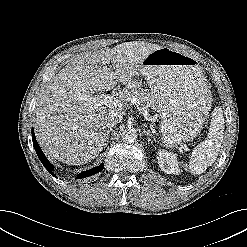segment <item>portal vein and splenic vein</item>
Here are the masks:
<instances>
[{"instance_id": "portal-vein-and-splenic-vein-1", "label": "portal vein and splenic vein", "mask_w": 247, "mask_h": 247, "mask_svg": "<svg viewBox=\"0 0 247 247\" xmlns=\"http://www.w3.org/2000/svg\"><path fill=\"white\" fill-rule=\"evenodd\" d=\"M130 100L132 104L139 106V101L136 97H132L130 98ZM93 102L95 103L96 106L105 105L109 108H118V109H122L123 107L122 101H120L119 99L109 94H105L99 97H94ZM139 109L142 111L143 115L146 117L147 116L146 111H144V109L142 108H139ZM185 150L188 151L189 149L186 147Z\"/></svg>"}]
</instances>
